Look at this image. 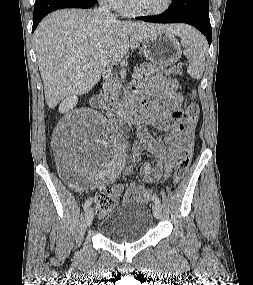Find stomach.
I'll list each match as a JSON object with an SVG mask.
<instances>
[{
    "label": "stomach",
    "mask_w": 253,
    "mask_h": 285,
    "mask_svg": "<svg viewBox=\"0 0 253 285\" xmlns=\"http://www.w3.org/2000/svg\"><path fill=\"white\" fill-rule=\"evenodd\" d=\"M142 51L150 63L164 67L177 63L182 54L176 37L167 32L146 36L142 41Z\"/></svg>",
    "instance_id": "obj_1"
}]
</instances>
